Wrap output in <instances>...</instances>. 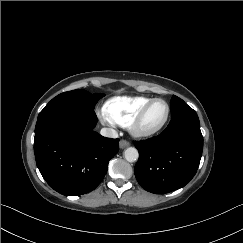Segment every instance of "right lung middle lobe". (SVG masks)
Instances as JSON below:
<instances>
[{
    "mask_svg": "<svg viewBox=\"0 0 243 243\" xmlns=\"http://www.w3.org/2000/svg\"><path fill=\"white\" fill-rule=\"evenodd\" d=\"M103 96L104 94H90L80 89L64 92L53 98L41 112L55 107H70L94 111L96 103Z\"/></svg>",
    "mask_w": 243,
    "mask_h": 243,
    "instance_id": "1",
    "label": "right lung middle lobe"
}]
</instances>
